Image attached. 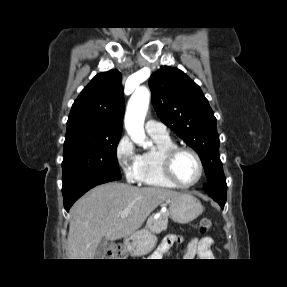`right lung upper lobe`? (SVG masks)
<instances>
[{
	"label": "right lung upper lobe",
	"instance_id": "cb5924a9",
	"mask_svg": "<svg viewBox=\"0 0 287 287\" xmlns=\"http://www.w3.org/2000/svg\"><path fill=\"white\" fill-rule=\"evenodd\" d=\"M125 112L119 71L97 74L72 105L67 131L88 127L98 134H121Z\"/></svg>",
	"mask_w": 287,
	"mask_h": 287
}]
</instances>
